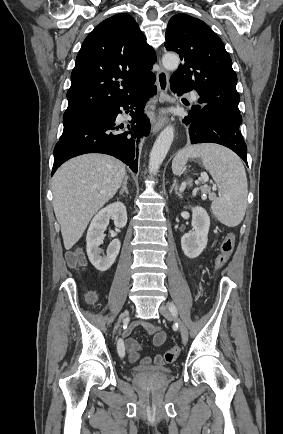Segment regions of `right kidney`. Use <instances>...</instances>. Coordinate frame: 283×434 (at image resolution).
<instances>
[{
  "label": "right kidney",
  "instance_id": "1",
  "mask_svg": "<svg viewBox=\"0 0 283 434\" xmlns=\"http://www.w3.org/2000/svg\"><path fill=\"white\" fill-rule=\"evenodd\" d=\"M114 220L117 228L125 227L127 223V211L122 202H115L100 210L90 223L87 231V255L92 265L99 271H107L115 262L120 251L121 243L118 239L110 242L106 256H101L99 246L103 244L109 220Z\"/></svg>",
  "mask_w": 283,
  "mask_h": 434
}]
</instances>
